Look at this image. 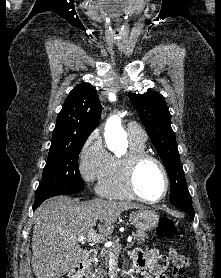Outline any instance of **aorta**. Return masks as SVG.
<instances>
[{
	"label": "aorta",
	"mask_w": 221,
	"mask_h": 278,
	"mask_svg": "<svg viewBox=\"0 0 221 278\" xmlns=\"http://www.w3.org/2000/svg\"><path fill=\"white\" fill-rule=\"evenodd\" d=\"M104 136L110 151H115L118 144L126 143V133L122 128L119 116L113 115L107 120Z\"/></svg>",
	"instance_id": "obj_1"
}]
</instances>
